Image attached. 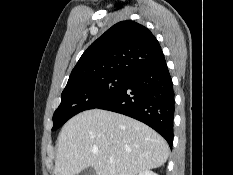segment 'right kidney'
<instances>
[{
	"mask_svg": "<svg viewBox=\"0 0 233 175\" xmlns=\"http://www.w3.org/2000/svg\"><path fill=\"white\" fill-rule=\"evenodd\" d=\"M139 175H157V174L152 171L147 170V171L139 173Z\"/></svg>",
	"mask_w": 233,
	"mask_h": 175,
	"instance_id": "right-kidney-1",
	"label": "right kidney"
}]
</instances>
